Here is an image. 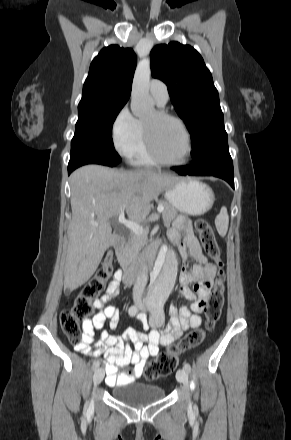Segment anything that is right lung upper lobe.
Wrapping results in <instances>:
<instances>
[{
  "label": "right lung upper lobe",
  "instance_id": "right-lung-upper-lobe-1",
  "mask_svg": "<svg viewBox=\"0 0 291 440\" xmlns=\"http://www.w3.org/2000/svg\"><path fill=\"white\" fill-rule=\"evenodd\" d=\"M137 57L131 48L110 45L103 48L90 65L79 104L122 102L130 98Z\"/></svg>",
  "mask_w": 291,
  "mask_h": 440
}]
</instances>
